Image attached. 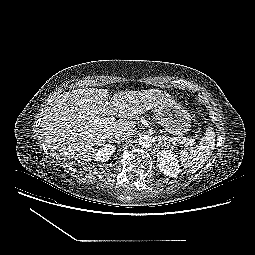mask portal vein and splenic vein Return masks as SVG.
I'll list each match as a JSON object with an SVG mask.
<instances>
[{"mask_svg": "<svg viewBox=\"0 0 255 255\" xmlns=\"http://www.w3.org/2000/svg\"><path fill=\"white\" fill-rule=\"evenodd\" d=\"M95 121L99 122V123H108V124H111V123H113L115 121V118H113V117L98 118ZM164 140L170 141L173 144H175V142L178 141V138H175V137L172 138V137L164 136Z\"/></svg>", "mask_w": 255, "mask_h": 255, "instance_id": "18ae733b", "label": "portal vein and splenic vein"}]
</instances>
